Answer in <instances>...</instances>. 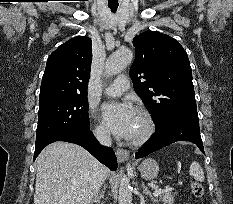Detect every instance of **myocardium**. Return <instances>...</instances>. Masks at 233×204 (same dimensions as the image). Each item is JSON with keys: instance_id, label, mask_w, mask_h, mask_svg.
<instances>
[{"instance_id": "obj_1", "label": "myocardium", "mask_w": 233, "mask_h": 204, "mask_svg": "<svg viewBox=\"0 0 233 204\" xmlns=\"http://www.w3.org/2000/svg\"><path fill=\"white\" fill-rule=\"evenodd\" d=\"M137 114L143 119L144 129L137 137L130 138V143L133 146H141L145 144L155 133V123L152 115L145 109H138Z\"/></svg>"}]
</instances>
